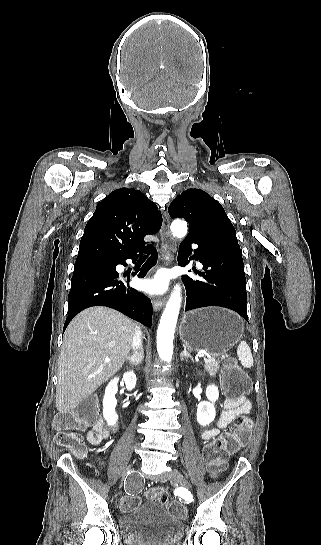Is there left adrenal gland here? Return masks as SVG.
<instances>
[{"mask_svg": "<svg viewBox=\"0 0 321 545\" xmlns=\"http://www.w3.org/2000/svg\"><path fill=\"white\" fill-rule=\"evenodd\" d=\"M188 357H189V359H191V361H193V363H194L193 357H191L190 353H187L186 347H184V351H182V353H181V355H180V359H181V361H185V359H188Z\"/></svg>", "mask_w": 321, "mask_h": 545, "instance_id": "obj_1", "label": "left adrenal gland"}]
</instances>
